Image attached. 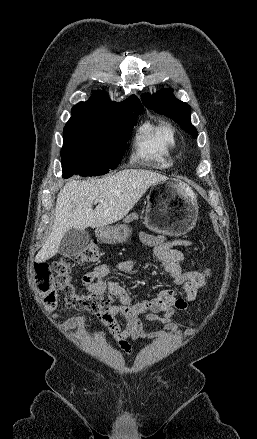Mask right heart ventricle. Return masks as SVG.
Masks as SVG:
<instances>
[{
  "label": "right heart ventricle",
  "instance_id": "right-heart-ventricle-1",
  "mask_svg": "<svg viewBox=\"0 0 257 439\" xmlns=\"http://www.w3.org/2000/svg\"><path fill=\"white\" fill-rule=\"evenodd\" d=\"M135 146L145 160L158 167H169L172 164L171 153L177 146L175 130L168 123H147L139 129Z\"/></svg>",
  "mask_w": 257,
  "mask_h": 439
}]
</instances>
